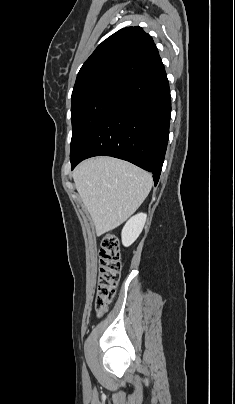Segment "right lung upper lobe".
Masks as SVG:
<instances>
[{
    "label": "right lung upper lobe",
    "instance_id": "right-lung-upper-lobe-1",
    "mask_svg": "<svg viewBox=\"0 0 235 404\" xmlns=\"http://www.w3.org/2000/svg\"><path fill=\"white\" fill-rule=\"evenodd\" d=\"M162 64L150 35L140 27H126L104 40L81 67L72 96L104 82H130Z\"/></svg>",
    "mask_w": 235,
    "mask_h": 404
}]
</instances>
